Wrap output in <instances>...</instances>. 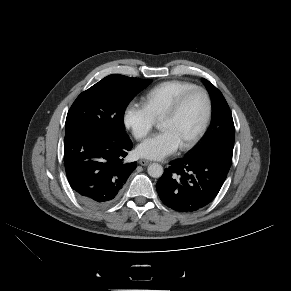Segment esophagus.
Masks as SVG:
<instances>
[{"label": "esophagus", "mask_w": 291, "mask_h": 291, "mask_svg": "<svg viewBox=\"0 0 291 291\" xmlns=\"http://www.w3.org/2000/svg\"><path fill=\"white\" fill-rule=\"evenodd\" d=\"M151 162L148 161V160H145V159H141L139 160V164L142 165V166H147L149 165Z\"/></svg>", "instance_id": "esophagus-1"}]
</instances>
